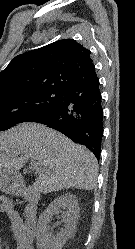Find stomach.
I'll return each mask as SVG.
<instances>
[{
	"mask_svg": "<svg viewBox=\"0 0 135 249\" xmlns=\"http://www.w3.org/2000/svg\"><path fill=\"white\" fill-rule=\"evenodd\" d=\"M16 175L14 172L0 168V188L11 191L13 190V184H17Z\"/></svg>",
	"mask_w": 135,
	"mask_h": 249,
	"instance_id": "1",
	"label": "stomach"
}]
</instances>
